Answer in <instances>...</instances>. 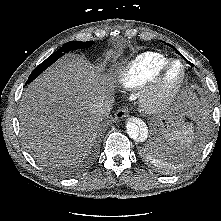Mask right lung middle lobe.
Returning a JSON list of instances; mask_svg holds the SVG:
<instances>
[{"instance_id":"dd1d6c3e","label":"right lung middle lobe","mask_w":221,"mask_h":221,"mask_svg":"<svg viewBox=\"0 0 221 221\" xmlns=\"http://www.w3.org/2000/svg\"><path fill=\"white\" fill-rule=\"evenodd\" d=\"M93 44V41L88 42H80V41H70L64 44L60 49H58L55 53L49 56L46 60H44L40 65L33 70L30 74L27 83H30L34 80L42 71L48 68L52 63H54L57 59L63 56L64 53H67L71 50L81 49L89 47Z\"/></svg>"}]
</instances>
